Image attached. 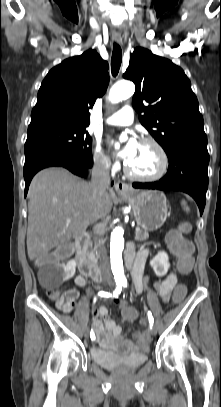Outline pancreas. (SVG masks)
Masks as SVG:
<instances>
[{
    "mask_svg": "<svg viewBox=\"0 0 221 407\" xmlns=\"http://www.w3.org/2000/svg\"><path fill=\"white\" fill-rule=\"evenodd\" d=\"M149 238V233L147 231H137L135 232V240L142 242Z\"/></svg>",
    "mask_w": 221,
    "mask_h": 407,
    "instance_id": "cf45deb5",
    "label": "pancreas"
}]
</instances>
